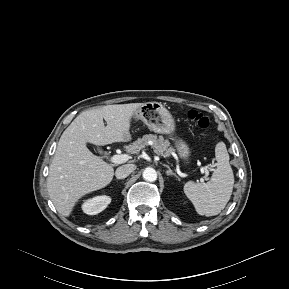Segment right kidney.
<instances>
[{"mask_svg":"<svg viewBox=\"0 0 289 289\" xmlns=\"http://www.w3.org/2000/svg\"><path fill=\"white\" fill-rule=\"evenodd\" d=\"M110 202L111 198L108 196H96L86 200L82 205V210L88 215H96L102 212Z\"/></svg>","mask_w":289,"mask_h":289,"instance_id":"1","label":"right kidney"}]
</instances>
